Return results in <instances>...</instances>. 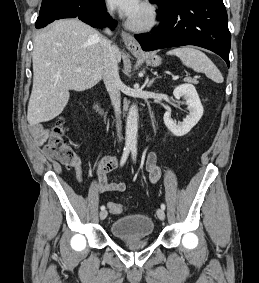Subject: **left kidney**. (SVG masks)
<instances>
[{
	"label": "left kidney",
	"mask_w": 259,
	"mask_h": 283,
	"mask_svg": "<svg viewBox=\"0 0 259 283\" xmlns=\"http://www.w3.org/2000/svg\"><path fill=\"white\" fill-rule=\"evenodd\" d=\"M173 95L177 100L184 97L186 100L185 104L189 109V114L183 119V122L178 124L171 118L169 111L164 114L163 119L168 130L173 135L181 137L186 135L201 119L203 106L195 87L191 84L177 86L173 91Z\"/></svg>",
	"instance_id": "left-kidney-1"
}]
</instances>
